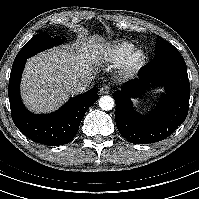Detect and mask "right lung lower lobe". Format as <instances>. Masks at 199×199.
Segmentation results:
<instances>
[{
    "instance_id": "98d812e1",
    "label": "right lung lower lobe",
    "mask_w": 199,
    "mask_h": 199,
    "mask_svg": "<svg viewBox=\"0 0 199 199\" xmlns=\"http://www.w3.org/2000/svg\"><path fill=\"white\" fill-rule=\"evenodd\" d=\"M26 59L13 63L8 86L11 115L17 128L29 139L48 146L69 143L78 132L81 120L88 108L98 100V88L94 87L74 98L62 108L48 115L29 112L20 97V79Z\"/></svg>"
}]
</instances>
